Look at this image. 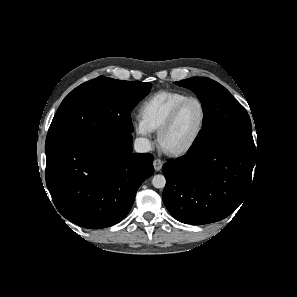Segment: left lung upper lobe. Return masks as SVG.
Segmentation results:
<instances>
[{"mask_svg": "<svg viewBox=\"0 0 297 297\" xmlns=\"http://www.w3.org/2000/svg\"><path fill=\"white\" fill-rule=\"evenodd\" d=\"M176 84L197 95L205 114L203 129L190 150L219 143L255 149L249 115L226 88L206 77H193Z\"/></svg>", "mask_w": 297, "mask_h": 297, "instance_id": "obj_1", "label": "left lung upper lobe"}]
</instances>
